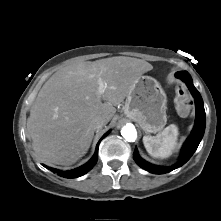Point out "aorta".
<instances>
[{"mask_svg":"<svg viewBox=\"0 0 221 221\" xmlns=\"http://www.w3.org/2000/svg\"><path fill=\"white\" fill-rule=\"evenodd\" d=\"M121 135L125 138V140L129 142H134L137 138V131L133 124L127 123L121 129Z\"/></svg>","mask_w":221,"mask_h":221,"instance_id":"obj_1","label":"aorta"}]
</instances>
